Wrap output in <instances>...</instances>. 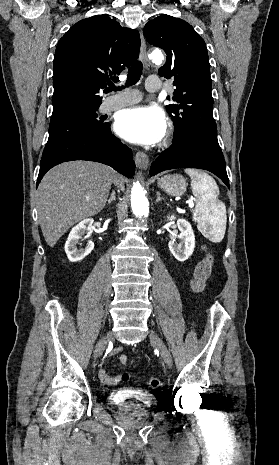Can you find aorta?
Here are the masks:
<instances>
[{
    "mask_svg": "<svg viewBox=\"0 0 279 465\" xmlns=\"http://www.w3.org/2000/svg\"><path fill=\"white\" fill-rule=\"evenodd\" d=\"M154 61H161L163 56L160 51H154L151 54ZM131 207L134 215L138 218L147 217L149 214V202L145 196L142 186L134 183L131 190Z\"/></svg>",
    "mask_w": 279,
    "mask_h": 465,
    "instance_id": "762f6f07",
    "label": "aorta"
}]
</instances>
